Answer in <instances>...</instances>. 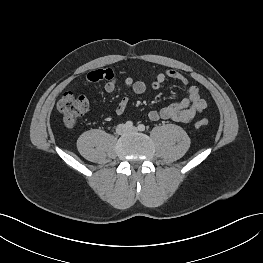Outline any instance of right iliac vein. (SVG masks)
Listing matches in <instances>:
<instances>
[{
	"instance_id": "1",
	"label": "right iliac vein",
	"mask_w": 263,
	"mask_h": 263,
	"mask_svg": "<svg viewBox=\"0 0 263 263\" xmlns=\"http://www.w3.org/2000/svg\"><path fill=\"white\" fill-rule=\"evenodd\" d=\"M117 132L119 134H124L127 132V127L125 125H120L118 128H117Z\"/></svg>"
}]
</instances>
